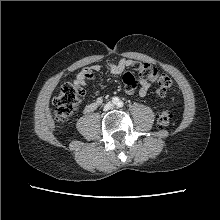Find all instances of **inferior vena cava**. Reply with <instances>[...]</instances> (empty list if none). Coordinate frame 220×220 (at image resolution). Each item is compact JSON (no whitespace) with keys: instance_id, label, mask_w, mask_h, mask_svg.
<instances>
[{"instance_id":"602c4592","label":"inferior vena cava","mask_w":220,"mask_h":220,"mask_svg":"<svg viewBox=\"0 0 220 220\" xmlns=\"http://www.w3.org/2000/svg\"><path fill=\"white\" fill-rule=\"evenodd\" d=\"M113 104L111 102H108L105 106H104V111H108L110 109L113 108Z\"/></svg>"}]
</instances>
